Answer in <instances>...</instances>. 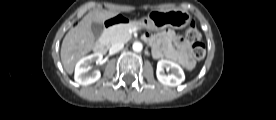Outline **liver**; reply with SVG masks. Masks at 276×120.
Masks as SVG:
<instances>
[{
  "mask_svg": "<svg viewBox=\"0 0 276 120\" xmlns=\"http://www.w3.org/2000/svg\"><path fill=\"white\" fill-rule=\"evenodd\" d=\"M117 14V11H91L68 31L61 46V61L68 74L73 73L76 63L89 53L95 45V37L91 30L92 23H104Z\"/></svg>",
  "mask_w": 276,
  "mask_h": 120,
  "instance_id": "6515ba94",
  "label": "liver"
}]
</instances>
